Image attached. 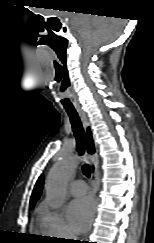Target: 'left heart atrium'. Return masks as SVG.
I'll use <instances>...</instances> for the list:
<instances>
[{"mask_svg":"<svg viewBox=\"0 0 154 243\" xmlns=\"http://www.w3.org/2000/svg\"><path fill=\"white\" fill-rule=\"evenodd\" d=\"M94 204L90 197H81L72 201L68 207V219L77 233L86 231L92 221Z\"/></svg>","mask_w":154,"mask_h":243,"instance_id":"1","label":"left heart atrium"}]
</instances>
